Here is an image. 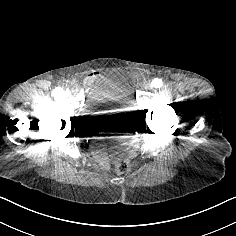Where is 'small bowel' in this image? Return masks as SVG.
<instances>
[{
	"mask_svg": "<svg viewBox=\"0 0 236 236\" xmlns=\"http://www.w3.org/2000/svg\"><path fill=\"white\" fill-rule=\"evenodd\" d=\"M100 78V74L98 72H94L92 74H90L87 78V82L88 83H93L96 80H98Z\"/></svg>",
	"mask_w": 236,
	"mask_h": 236,
	"instance_id": "1",
	"label": "small bowel"
}]
</instances>
